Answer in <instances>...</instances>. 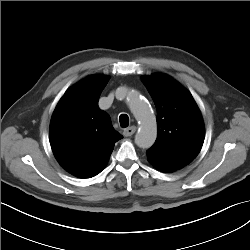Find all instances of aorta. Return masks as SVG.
Here are the masks:
<instances>
[{"label": "aorta", "instance_id": "762f6f07", "mask_svg": "<svg viewBox=\"0 0 250 250\" xmlns=\"http://www.w3.org/2000/svg\"><path fill=\"white\" fill-rule=\"evenodd\" d=\"M124 92L126 102L139 123V129L135 135V143L140 148L148 149L157 138L155 115L149 103L140 98L138 92L128 89H125Z\"/></svg>", "mask_w": 250, "mask_h": 250}]
</instances>
